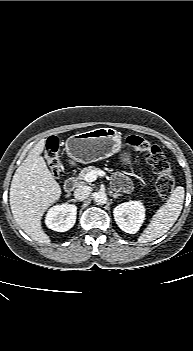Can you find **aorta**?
<instances>
[{
	"label": "aorta",
	"mask_w": 193,
	"mask_h": 351,
	"mask_svg": "<svg viewBox=\"0 0 193 351\" xmlns=\"http://www.w3.org/2000/svg\"><path fill=\"white\" fill-rule=\"evenodd\" d=\"M93 197H94V201L98 205H103L107 202V195L105 192H102V191L95 192Z\"/></svg>",
	"instance_id": "aorta-1"
}]
</instances>
